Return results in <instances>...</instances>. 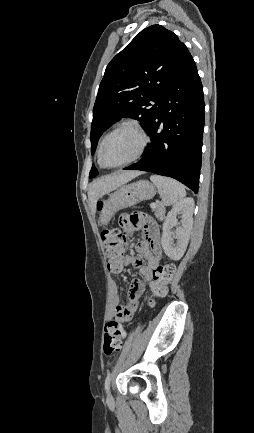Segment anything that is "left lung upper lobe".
Segmentation results:
<instances>
[{
	"instance_id": "left-lung-upper-lobe-1",
	"label": "left lung upper lobe",
	"mask_w": 254,
	"mask_h": 433,
	"mask_svg": "<svg viewBox=\"0 0 254 433\" xmlns=\"http://www.w3.org/2000/svg\"><path fill=\"white\" fill-rule=\"evenodd\" d=\"M188 52L176 34L161 25L142 30L106 67L93 109L91 152L100 136L123 117L147 131L164 91ZM151 101L156 105H151ZM98 174L93 165L90 178Z\"/></svg>"
}]
</instances>
